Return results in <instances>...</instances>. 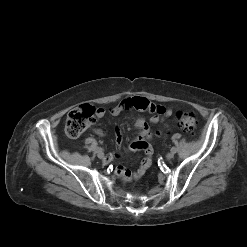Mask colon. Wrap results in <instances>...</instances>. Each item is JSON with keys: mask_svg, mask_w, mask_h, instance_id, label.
Masks as SVG:
<instances>
[{"mask_svg": "<svg viewBox=\"0 0 247 247\" xmlns=\"http://www.w3.org/2000/svg\"><path fill=\"white\" fill-rule=\"evenodd\" d=\"M96 109L90 105L74 108L69 112L65 122V133L69 138H77L93 122ZM179 129L186 133L194 134L197 126V118L193 112H179L176 115Z\"/></svg>", "mask_w": 247, "mask_h": 247, "instance_id": "obj_1", "label": "colon"}]
</instances>
